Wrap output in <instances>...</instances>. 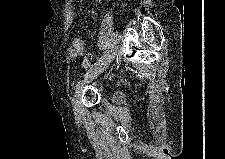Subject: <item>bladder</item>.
I'll return each mask as SVG.
<instances>
[{
	"label": "bladder",
	"mask_w": 225,
	"mask_h": 159,
	"mask_svg": "<svg viewBox=\"0 0 225 159\" xmlns=\"http://www.w3.org/2000/svg\"><path fill=\"white\" fill-rule=\"evenodd\" d=\"M114 101H115V102H120V101H121V98L118 97V96H116V97L114 98Z\"/></svg>",
	"instance_id": "obj_1"
}]
</instances>
